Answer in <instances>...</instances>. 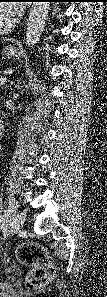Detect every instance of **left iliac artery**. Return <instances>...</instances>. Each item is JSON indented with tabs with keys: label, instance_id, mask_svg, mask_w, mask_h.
<instances>
[{
	"label": "left iliac artery",
	"instance_id": "44dca946",
	"mask_svg": "<svg viewBox=\"0 0 107 297\" xmlns=\"http://www.w3.org/2000/svg\"><path fill=\"white\" fill-rule=\"evenodd\" d=\"M16 210H17V202L13 198L9 199L8 209L5 212V215L1 218L2 219L1 230H3L4 235L7 233V230L5 228V222L9 217L14 216V214L16 213Z\"/></svg>",
	"mask_w": 107,
	"mask_h": 297
}]
</instances>
